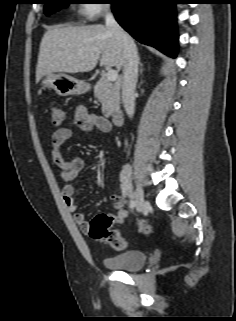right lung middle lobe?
<instances>
[{"mask_svg":"<svg viewBox=\"0 0 236 321\" xmlns=\"http://www.w3.org/2000/svg\"><path fill=\"white\" fill-rule=\"evenodd\" d=\"M109 3L110 0H107ZM69 4L68 0H46L44 12L46 15H50L51 13L58 11L64 7H67Z\"/></svg>","mask_w":236,"mask_h":321,"instance_id":"dd1d6c3e","label":"right lung middle lobe"}]
</instances>
